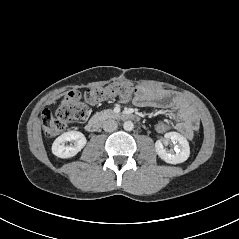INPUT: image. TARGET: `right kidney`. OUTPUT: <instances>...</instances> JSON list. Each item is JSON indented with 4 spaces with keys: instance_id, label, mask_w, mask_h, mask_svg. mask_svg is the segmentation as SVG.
Instances as JSON below:
<instances>
[{
    "instance_id": "1",
    "label": "right kidney",
    "mask_w": 239,
    "mask_h": 239,
    "mask_svg": "<svg viewBox=\"0 0 239 239\" xmlns=\"http://www.w3.org/2000/svg\"><path fill=\"white\" fill-rule=\"evenodd\" d=\"M66 142H72L66 146ZM84 134L79 131H68L60 135L52 144V153L59 158H71L80 152L86 145Z\"/></svg>"
}]
</instances>
